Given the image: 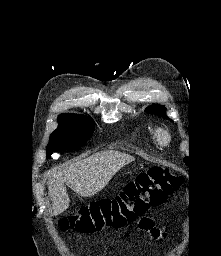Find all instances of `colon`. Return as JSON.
Wrapping results in <instances>:
<instances>
[{
	"mask_svg": "<svg viewBox=\"0 0 221 256\" xmlns=\"http://www.w3.org/2000/svg\"><path fill=\"white\" fill-rule=\"evenodd\" d=\"M181 184V177L163 167L153 166L127 183L115 197L92 202L63 218L60 229L95 233L105 228L124 227L142 217L150 207L163 204Z\"/></svg>",
	"mask_w": 221,
	"mask_h": 256,
	"instance_id": "obj_1",
	"label": "colon"
}]
</instances>
